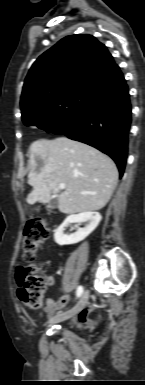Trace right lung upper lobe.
Masks as SVG:
<instances>
[{
  "label": "right lung upper lobe",
  "instance_id": "obj_1",
  "mask_svg": "<svg viewBox=\"0 0 145 385\" xmlns=\"http://www.w3.org/2000/svg\"><path fill=\"white\" fill-rule=\"evenodd\" d=\"M121 75L107 48L95 37L67 36L29 70L21 96L22 116L70 90L95 91Z\"/></svg>",
  "mask_w": 145,
  "mask_h": 385
}]
</instances>
